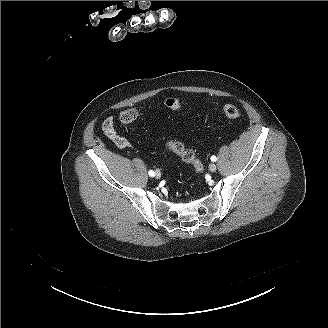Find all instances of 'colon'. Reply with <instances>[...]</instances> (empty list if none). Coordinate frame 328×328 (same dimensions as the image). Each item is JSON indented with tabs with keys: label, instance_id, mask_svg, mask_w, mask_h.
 Instances as JSON below:
<instances>
[{
	"label": "colon",
	"instance_id": "5ec220e1",
	"mask_svg": "<svg viewBox=\"0 0 328 328\" xmlns=\"http://www.w3.org/2000/svg\"><path fill=\"white\" fill-rule=\"evenodd\" d=\"M164 104L172 110H180L181 103L177 98H168ZM224 115L229 119H236L240 116L239 109L233 104H226L223 107ZM139 116V111L136 108H129L120 113L119 121L121 125L126 126L135 121ZM109 133L111 131L109 130ZM110 135V134H109ZM166 147L178 155L184 162L190 163L194 166L196 172L201 173L203 171L202 163L197 159L193 150L188 149L183 143L177 140H169L166 143Z\"/></svg>",
	"mask_w": 328,
	"mask_h": 328
}]
</instances>
